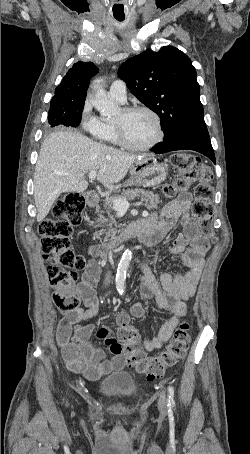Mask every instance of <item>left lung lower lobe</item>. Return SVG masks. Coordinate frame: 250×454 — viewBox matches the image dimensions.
I'll return each mask as SVG.
<instances>
[{
	"label": "left lung lower lobe",
	"instance_id": "1",
	"mask_svg": "<svg viewBox=\"0 0 250 454\" xmlns=\"http://www.w3.org/2000/svg\"><path fill=\"white\" fill-rule=\"evenodd\" d=\"M157 154L175 150H194L215 163V155L205 122H198L181 129L172 138L156 144L152 149Z\"/></svg>",
	"mask_w": 250,
	"mask_h": 454
}]
</instances>
